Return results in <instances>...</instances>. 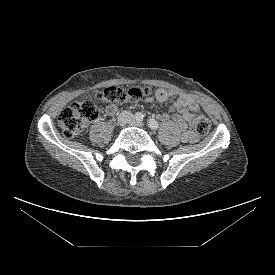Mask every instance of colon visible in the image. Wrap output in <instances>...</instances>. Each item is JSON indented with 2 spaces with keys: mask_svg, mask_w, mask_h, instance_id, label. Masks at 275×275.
<instances>
[{
  "mask_svg": "<svg viewBox=\"0 0 275 275\" xmlns=\"http://www.w3.org/2000/svg\"><path fill=\"white\" fill-rule=\"evenodd\" d=\"M148 88H121L108 87L98 92L96 101L109 103H133L148 95ZM195 130L197 134L204 136L209 132L210 122L198 110L195 111ZM98 117V108L95 102L85 100L74 102L60 112L57 118L58 126L68 138H75L81 135L86 126Z\"/></svg>",
  "mask_w": 275,
  "mask_h": 275,
  "instance_id": "colon-1",
  "label": "colon"
}]
</instances>
